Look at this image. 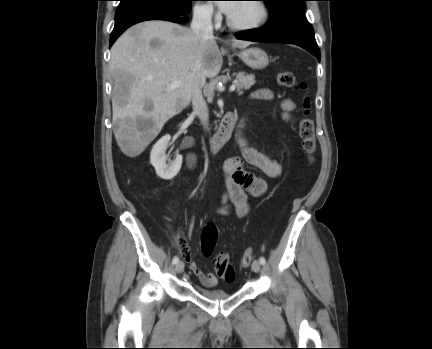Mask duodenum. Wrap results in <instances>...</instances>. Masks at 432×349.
Listing matches in <instances>:
<instances>
[{"mask_svg":"<svg viewBox=\"0 0 432 349\" xmlns=\"http://www.w3.org/2000/svg\"><path fill=\"white\" fill-rule=\"evenodd\" d=\"M235 126V116L233 113L226 114L217 134L211 139L210 147L213 153H218L226 145L233 134Z\"/></svg>","mask_w":432,"mask_h":349,"instance_id":"duodenum-1","label":"duodenum"}]
</instances>
